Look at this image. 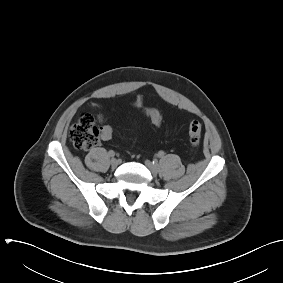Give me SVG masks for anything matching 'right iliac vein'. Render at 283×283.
Wrapping results in <instances>:
<instances>
[{
  "instance_id": "1",
  "label": "right iliac vein",
  "mask_w": 283,
  "mask_h": 283,
  "mask_svg": "<svg viewBox=\"0 0 283 283\" xmlns=\"http://www.w3.org/2000/svg\"><path fill=\"white\" fill-rule=\"evenodd\" d=\"M110 164H111V167H112L113 169H115V168L119 165V160L113 158V159L111 160Z\"/></svg>"
}]
</instances>
